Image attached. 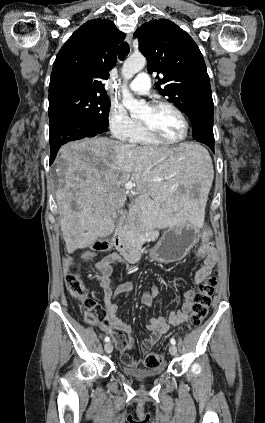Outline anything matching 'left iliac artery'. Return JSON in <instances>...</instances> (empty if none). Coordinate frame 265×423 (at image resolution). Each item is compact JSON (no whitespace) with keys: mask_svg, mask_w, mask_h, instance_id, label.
Returning <instances> with one entry per match:
<instances>
[{"mask_svg":"<svg viewBox=\"0 0 265 423\" xmlns=\"http://www.w3.org/2000/svg\"><path fill=\"white\" fill-rule=\"evenodd\" d=\"M171 344L175 345L176 344V340L174 338L170 339Z\"/></svg>","mask_w":265,"mask_h":423,"instance_id":"left-iliac-artery-1","label":"left iliac artery"}]
</instances>
